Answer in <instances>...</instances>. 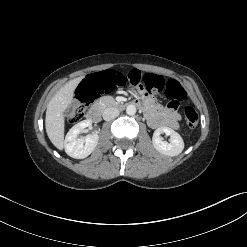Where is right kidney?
Returning a JSON list of instances; mask_svg holds the SVG:
<instances>
[{
	"mask_svg": "<svg viewBox=\"0 0 247 247\" xmlns=\"http://www.w3.org/2000/svg\"><path fill=\"white\" fill-rule=\"evenodd\" d=\"M90 120H84L74 125L65 137V152L72 158L83 159L89 156L98 144L99 136L96 133L78 138L80 132L91 126Z\"/></svg>",
	"mask_w": 247,
	"mask_h": 247,
	"instance_id": "obj_1",
	"label": "right kidney"
}]
</instances>
